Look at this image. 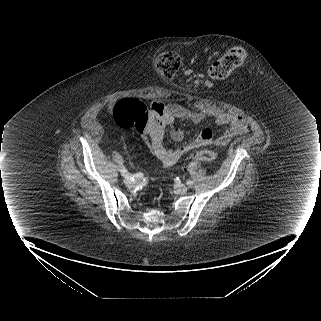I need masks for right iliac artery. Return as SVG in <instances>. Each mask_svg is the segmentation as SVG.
I'll use <instances>...</instances> for the list:
<instances>
[{"instance_id": "obj_1", "label": "right iliac artery", "mask_w": 321, "mask_h": 321, "mask_svg": "<svg viewBox=\"0 0 321 321\" xmlns=\"http://www.w3.org/2000/svg\"><path fill=\"white\" fill-rule=\"evenodd\" d=\"M120 172L123 177H125L126 179H130V180L131 179L134 180V178H138L140 176V174H135V175L131 176L124 166L121 167Z\"/></svg>"}]
</instances>
